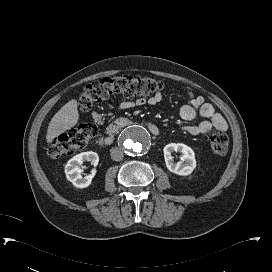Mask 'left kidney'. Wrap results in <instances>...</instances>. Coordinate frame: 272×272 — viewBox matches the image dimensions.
Segmentation results:
<instances>
[{
	"instance_id": "left-kidney-1",
	"label": "left kidney",
	"mask_w": 272,
	"mask_h": 272,
	"mask_svg": "<svg viewBox=\"0 0 272 272\" xmlns=\"http://www.w3.org/2000/svg\"><path fill=\"white\" fill-rule=\"evenodd\" d=\"M182 153L180 162L175 163L172 152ZM164 159L166 167L170 172L180 176H187L196 168V159L194 151L187 145L182 143L167 144L164 149Z\"/></svg>"
}]
</instances>
